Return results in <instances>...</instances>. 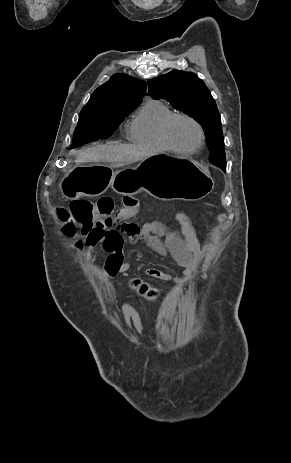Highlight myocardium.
<instances>
[{"label": "myocardium", "mask_w": 291, "mask_h": 463, "mask_svg": "<svg viewBox=\"0 0 291 463\" xmlns=\"http://www.w3.org/2000/svg\"><path fill=\"white\" fill-rule=\"evenodd\" d=\"M177 119L188 120L191 123H193L195 125V127L197 128L198 133H199V140H198L197 145L194 146L193 148H189V149L181 148V147L177 146L173 142V140L171 139V137H170V129H171V126L174 123V121H176ZM161 135H162L163 141L165 142V144L168 146V148L170 150H172L174 152H177V153H181V154H194V153H197L199 150H201V148L205 144V131H204V128L201 125V123L197 119H195L194 117H192V116H190L188 114H184V113H175V114L171 115L163 123L162 129H161Z\"/></svg>", "instance_id": "f54148a6"}]
</instances>
